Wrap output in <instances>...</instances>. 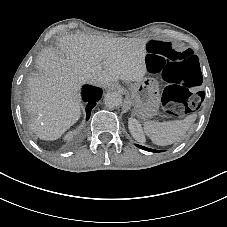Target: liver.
Segmentation results:
<instances>
[{"label":"liver","mask_w":227,"mask_h":227,"mask_svg":"<svg viewBox=\"0 0 227 227\" xmlns=\"http://www.w3.org/2000/svg\"><path fill=\"white\" fill-rule=\"evenodd\" d=\"M147 39L91 34L59 40L60 52L46 49L38 58L40 74L30 76L25 104L30 128L41 139L56 140L80 117L76 91L80 82L114 88L118 81L140 82L148 73Z\"/></svg>","instance_id":"liver-1"}]
</instances>
